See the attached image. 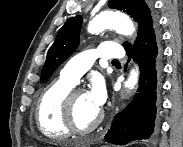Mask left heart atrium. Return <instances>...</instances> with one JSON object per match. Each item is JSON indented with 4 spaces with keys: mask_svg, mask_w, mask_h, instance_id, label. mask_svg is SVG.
Returning a JSON list of instances; mask_svg holds the SVG:
<instances>
[{
    "mask_svg": "<svg viewBox=\"0 0 183 147\" xmlns=\"http://www.w3.org/2000/svg\"><path fill=\"white\" fill-rule=\"evenodd\" d=\"M87 95L93 105L100 110L106 99V89L103 81L95 79Z\"/></svg>",
    "mask_w": 183,
    "mask_h": 147,
    "instance_id": "1",
    "label": "left heart atrium"
}]
</instances>
